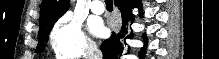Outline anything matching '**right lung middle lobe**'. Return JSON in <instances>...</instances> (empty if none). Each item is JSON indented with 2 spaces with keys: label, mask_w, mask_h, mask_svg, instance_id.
Masks as SVG:
<instances>
[{
  "label": "right lung middle lobe",
  "mask_w": 219,
  "mask_h": 59,
  "mask_svg": "<svg viewBox=\"0 0 219 59\" xmlns=\"http://www.w3.org/2000/svg\"><path fill=\"white\" fill-rule=\"evenodd\" d=\"M54 23L53 24H50L46 27H43V28H39V32H38V45H37V48L35 50L36 53H39V52H42L43 49H44V46H45V42L48 41V36H49V33L53 27Z\"/></svg>",
  "instance_id": "dd1d6c3e"
}]
</instances>
